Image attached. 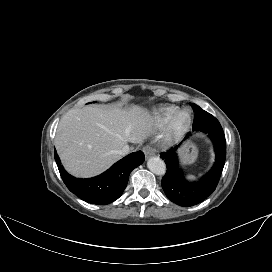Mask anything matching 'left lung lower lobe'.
Listing matches in <instances>:
<instances>
[{
    "label": "left lung lower lobe",
    "instance_id": "obj_1",
    "mask_svg": "<svg viewBox=\"0 0 272 272\" xmlns=\"http://www.w3.org/2000/svg\"><path fill=\"white\" fill-rule=\"evenodd\" d=\"M192 130L207 133L214 144L215 163L200 180L189 182L184 178L178 165L176 154L178 147L161 153V157L165 160L168 168L161 181L162 188L172 202L183 207L199 204L213 193L218 185L226 158L225 135L217 119ZM190 135L191 133H188L185 139Z\"/></svg>",
    "mask_w": 272,
    "mask_h": 272
}]
</instances>
